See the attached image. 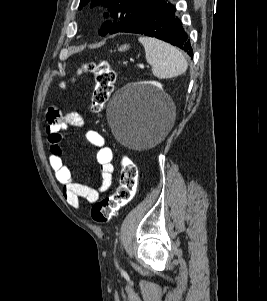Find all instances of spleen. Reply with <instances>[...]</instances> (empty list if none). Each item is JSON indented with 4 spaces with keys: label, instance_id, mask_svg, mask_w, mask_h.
<instances>
[{
    "label": "spleen",
    "instance_id": "spleen-1",
    "mask_svg": "<svg viewBox=\"0 0 267 301\" xmlns=\"http://www.w3.org/2000/svg\"><path fill=\"white\" fill-rule=\"evenodd\" d=\"M138 40L144 46L146 60L154 76L168 79L186 72L187 60L177 48L155 38L140 37Z\"/></svg>",
    "mask_w": 267,
    "mask_h": 301
}]
</instances>
